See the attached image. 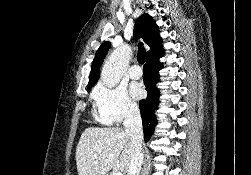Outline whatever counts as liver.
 I'll return each instance as SVG.
<instances>
[{
    "label": "liver",
    "instance_id": "obj_1",
    "mask_svg": "<svg viewBox=\"0 0 251 175\" xmlns=\"http://www.w3.org/2000/svg\"><path fill=\"white\" fill-rule=\"evenodd\" d=\"M131 135L122 127H86L76 147L78 175H105L130 165Z\"/></svg>",
    "mask_w": 251,
    "mask_h": 175
}]
</instances>
